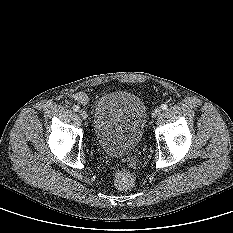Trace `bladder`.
<instances>
[{
	"mask_svg": "<svg viewBox=\"0 0 233 233\" xmlns=\"http://www.w3.org/2000/svg\"><path fill=\"white\" fill-rule=\"evenodd\" d=\"M146 108L135 94L114 91L96 102L93 131L100 148L113 157H123L138 145L146 124Z\"/></svg>",
	"mask_w": 233,
	"mask_h": 233,
	"instance_id": "bladder-1",
	"label": "bladder"
}]
</instances>
